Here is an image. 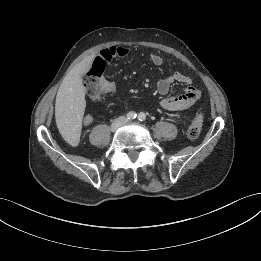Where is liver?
I'll use <instances>...</instances> for the list:
<instances>
[{
	"label": "liver",
	"instance_id": "1",
	"mask_svg": "<svg viewBox=\"0 0 261 261\" xmlns=\"http://www.w3.org/2000/svg\"><path fill=\"white\" fill-rule=\"evenodd\" d=\"M92 62V56L79 62L67 73L58 89L55 118L58 129L63 135H70L80 130L86 107L82 75L91 68Z\"/></svg>",
	"mask_w": 261,
	"mask_h": 261
}]
</instances>
